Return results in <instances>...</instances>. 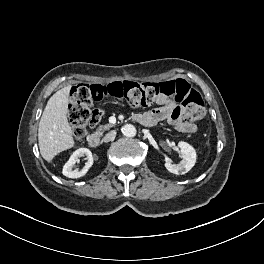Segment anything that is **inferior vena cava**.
<instances>
[{"label":"inferior vena cava","instance_id":"obj_1","mask_svg":"<svg viewBox=\"0 0 264 264\" xmlns=\"http://www.w3.org/2000/svg\"><path fill=\"white\" fill-rule=\"evenodd\" d=\"M116 137V131L115 130H112L110 132H108L104 137H103V142L107 143V142H110V141H113Z\"/></svg>","mask_w":264,"mask_h":264}]
</instances>
